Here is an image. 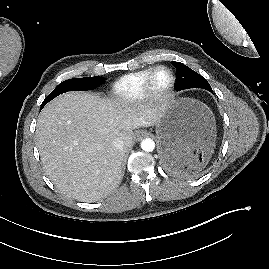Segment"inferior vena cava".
<instances>
[{"mask_svg":"<svg viewBox=\"0 0 269 269\" xmlns=\"http://www.w3.org/2000/svg\"><path fill=\"white\" fill-rule=\"evenodd\" d=\"M112 146L115 147L116 149H123L124 148V141L117 137L113 140Z\"/></svg>","mask_w":269,"mask_h":269,"instance_id":"1","label":"inferior vena cava"}]
</instances>
